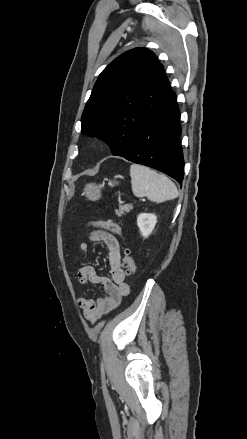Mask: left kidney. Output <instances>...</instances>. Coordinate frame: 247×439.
Instances as JSON below:
<instances>
[{
  "label": "left kidney",
  "mask_w": 247,
  "mask_h": 439,
  "mask_svg": "<svg viewBox=\"0 0 247 439\" xmlns=\"http://www.w3.org/2000/svg\"><path fill=\"white\" fill-rule=\"evenodd\" d=\"M157 223V217L151 213H141L137 217V226L144 238H147Z\"/></svg>",
  "instance_id": "5707ae66"
}]
</instances>
